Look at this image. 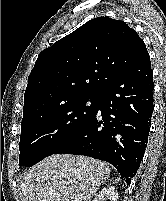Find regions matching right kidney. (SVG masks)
I'll return each instance as SVG.
<instances>
[{
	"label": "right kidney",
	"instance_id": "ca27d5eb",
	"mask_svg": "<svg viewBox=\"0 0 166 201\" xmlns=\"http://www.w3.org/2000/svg\"><path fill=\"white\" fill-rule=\"evenodd\" d=\"M118 192L115 190L114 186H108L103 188L98 194L95 195L93 201H117Z\"/></svg>",
	"mask_w": 166,
	"mask_h": 201
}]
</instances>
